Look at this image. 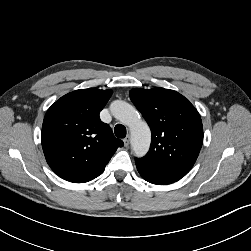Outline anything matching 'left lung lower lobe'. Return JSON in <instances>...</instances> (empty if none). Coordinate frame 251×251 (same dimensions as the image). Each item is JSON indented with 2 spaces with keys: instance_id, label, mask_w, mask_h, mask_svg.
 <instances>
[{
  "instance_id": "1",
  "label": "left lung lower lobe",
  "mask_w": 251,
  "mask_h": 251,
  "mask_svg": "<svg viewBox=\"0 0 251 251\" xmlns=\"http://www.w3.org/2000/svg\"><path fill=\"white\" fill-rule=\"evenodd\" d=\"M136 166L138 172L146 181L157 185L171 184L187 174L177 170L153 168L138 162H136Z\"/></svg>"
}]
</instances>
